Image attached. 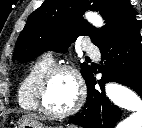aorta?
Instances as JSON below:
<instances>
[{"label": "aorta", "mask_w": 142, "mask_h": 128, "mask_svg": "<svg viewBox=\"0 0 142 128\" xmlns=\"http://www.w3.org/2000/svg\"><path fill=\"white\" fill-rule=\"evenodd\" d=\"M85 18L95 27L103 26L97 13L87 12ZM105 92L114 105L133 112L119 123L118 128H142V100L136 93L117 83H108Z\"/></svg>", "instance_id": "762f6f07"}]
</instances>
